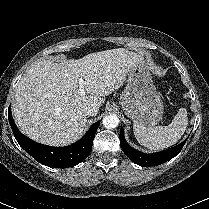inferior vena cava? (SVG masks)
Wrapping results in <instances>:
<instances>
[{
	"label": "inferior vena cava",
	"mask_w": 209,
	"mask_h": 209,
	"mask_svg": "<svg viewBox=\"0 0 209 209\" xmlns=\"http://www.w3.org/2000/svg\"><path fill=\"white\" fill-rule=\"evenodd\" d=\"M98 108L95 106H87L84 108V113L86 116H96L98 113Z\"/></svg>",
	"instance_id": "inferior-vena-cava-1"
}]
</instances>
